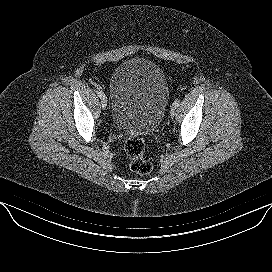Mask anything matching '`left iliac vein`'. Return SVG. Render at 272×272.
<instances>
[{"mask_svg": "<svg viewBox=\"0 0 272 272\" xmlns=\"http://www.w3.org/2000/svg\"><path fill=\"white\" fill-rule=\"evenodd\" d=\"M175 113H176V108L172 105L171 110H170V115L174 116Z\"/></svg>", "mask_w": 272, "mask_h": 272, "instance_id": "left-iliac-vein-1", "label": "left iliac vein"}]
</instances>
